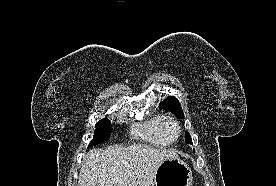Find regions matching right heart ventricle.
Segmentation results:
<instances>
[{
    "label": "right heart ventricle",
    "mask_w": 276,
    "mask_h": 186,
    "mask_svg": "<svg viewBox=\"0 0 276 186\" xmlns=\"http://www.w3.org/2000/svg\"><path fill=\"white\" fill-rule=\"evenodd\" d=\"M161 116L155 115L147 119L144 123L133 128V134L157 147H166L169 145L161 134L160 124Z\"/></svg>",
    "instance_id": "e07e8e85"
}]
</instances>
